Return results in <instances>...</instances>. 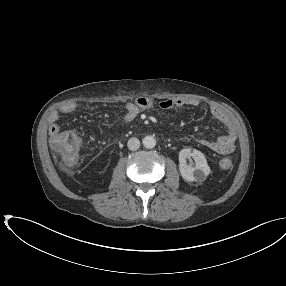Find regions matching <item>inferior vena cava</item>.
Wrapping results in <instances>:
<instances>
[{"label": "inferior vena cava", "instance_id": "602c4592", "mask_svg": "<svg viewBox=\"0 0 286 286\" xmlns=\"http://www.w3.org/2000/svg\"><path fill=\"white\" fill-rule=\"evenodd\" d=\"M129 150L135 151L140 147V141L137 138H130L127 142Z\"/></svg>", "mask_w": 286, "mask_h": 286}]
</instances>
